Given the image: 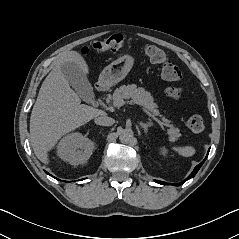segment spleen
<instances>
[{
  "mask_svg": "<svg viewBox=\"0 0 239 239\" xmlns=\"http://www.w3.org/2000/svg\"><path fill=\"white\" fill-rule=\"evenodd\" d=\"M172 150L178 152L180 155L189 157L195 154V149L192 146H184V147H172Z\"/></svg>",
  "mask_w": 239,
  "mask_h": 239,
  "instance_id": "1",
  "label": "spleen"
}]
</instances>
